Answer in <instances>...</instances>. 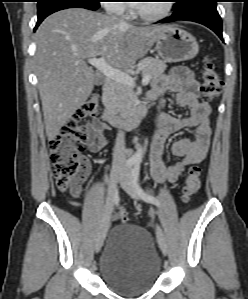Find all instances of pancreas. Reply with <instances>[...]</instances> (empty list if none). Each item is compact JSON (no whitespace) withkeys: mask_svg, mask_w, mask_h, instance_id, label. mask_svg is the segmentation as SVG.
<instances>
[{"mask_svg":"<svg viewBox=\"0 0 248 299\" xmlns=\"http://www.w3.org/2000/svg\"><path fill=\"white\" fill-rule=\"evenodd\" d=\"M137 67L142 69L143 76H149L150 79H154L162 75L167 66L165 62L157 58L147 57L141 60ZM106 98L107 107L124 116L131 113L138 103L133 87L118 82L112 84L111 89L106 94Z\"/></svg>","mask_w":248,"mask_h":299,"instance_id":"cf45deb5","label":"pancreas"}]
</instances>
